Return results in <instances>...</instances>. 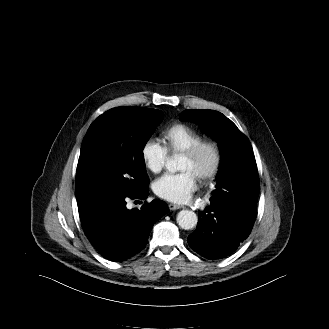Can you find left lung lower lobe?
I'll return each mask as SVG.
<instances>
[{"label": "left lung lower lobe", "instance_id": "0a47b994", "mask_svg": "<svg viewBox=\"0 0 329 329\" xmlns=\"http://www.w3.org/2000/svg\"><path fill=\"white\" fill-rule=\"evenodd\" d=\"M229 190L226 198L210 200L199 212L197 228L188 236L189 246L207 259L230 255L249 236L260 191L257 166Z\"/></svg>", "mask_w": 329, "mask_h": 329}]
</instances>
